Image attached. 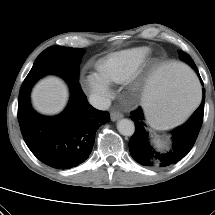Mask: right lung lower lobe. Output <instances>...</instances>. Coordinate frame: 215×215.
<instances>
[{"mask_svg": "<svg viewBox=\"0 0 215 215\" xmlns=\"http://www.w3.org/2000/svg\"><path fill=\"white\" fill-rule=\"evenodd\" d=\"M68 84L71 97L61 114L47 117L29 106L27 113L18 117L28 148L41 162L56 169L84 162L92 151L97 129L110 120L108 112L88 103L78 81Z\"/></svg>", "mask_w": 215, "mask_h": 215, "instance_id": "1", "label": "right lung lower lobe"}]
</instances>
